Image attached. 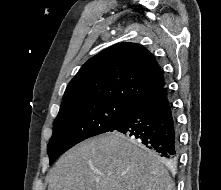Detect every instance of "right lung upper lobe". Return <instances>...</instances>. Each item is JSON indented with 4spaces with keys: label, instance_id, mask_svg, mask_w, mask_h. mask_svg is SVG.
I'll list each match as a JSON object with an SVG mask.
<instances>
[{
    "label": "right lung upper lobe",
    "instance_id": "obj_1",
    "mask_svg": "<svg viewBox=\"0 0 221 190\" xmlns=\"http://www.w3.org/2000/svg\"><path fill=\"white\" fill-rule=\"evenodd\" d=\"M154 56L135 43H118L89 59L68 84L60 108L115 100L134 105L165 86Z\"/></svg>",
    "mask_w": 221,
    "mask_h": 190
}]
</instances>
